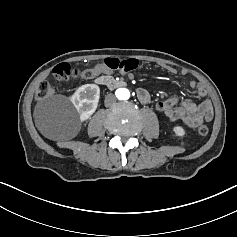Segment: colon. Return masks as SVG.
Segmentation results:
<instances>
[{"label": "colon", "instance_id": "5ec220e1", "mask_svg": "<svg viewBox=\"0 0 237 237\" xmlns=\"http://www.w3.org/2000/svg\"><path fill=\"white\" fill-rule=\"evenodd\" d=\"M104 63L109 69L119 71L121 73H129L136 70L139 67V61L134 58L130 59H118V58H106ZM81 72L71 67L68 64H60L54 70V79L57 81H70L79 77ZM53 94V88L48 82H42L37 90L36 97L38 100H44ZM200 135L205 136L209 132V128L206 125H201L198 128Z\"/></svg>", "mask_w": 237, "mask_h": 237}]
</instances>
